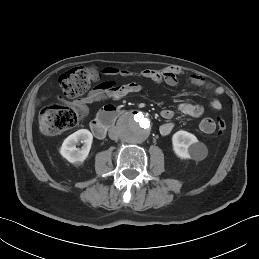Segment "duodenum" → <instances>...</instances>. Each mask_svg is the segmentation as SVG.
Wrapping results in <instances>:
<instances>
[{"instance_id":"1","label":"duodenum","mask_w":259,"mask_h":259,"mask_svg":"<svg viewBox=\"0 0 259 259\" xmlns=\"http://www.w3.org/2000/svg\"><path fill=\"white\" fill-rule=\"evenodd\" d=\"M122 114L123 111L115 106L107 105L103 107L96 118L90 123V128L93 135L99 139L104 138L115 119Z\"/></svg>"}]
</instances>
